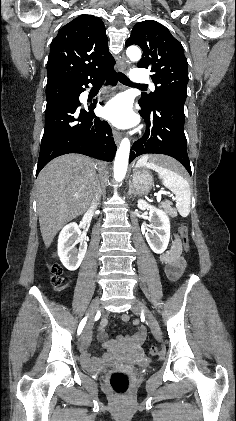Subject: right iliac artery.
I'll return each instance as SVG.
<instances>
[{"instance_id": "right-iliac-artery-1", "label": "right iliac artery", "mask_w": 236, "mask_h": 421, "mask_svg": "<svg viewBox=\"0 0 236 421\" xmlns=\"http://www.w3.org/2000/svg\"><path fill=\"white\" fill-rule=\"evenodd\" d=\"M86 321H87V317L83 318L82 321L80 322L78 330H77L78 335H80V333L82 332V330H83V328L86 324Z\"/></svg>"}]
</instances>
